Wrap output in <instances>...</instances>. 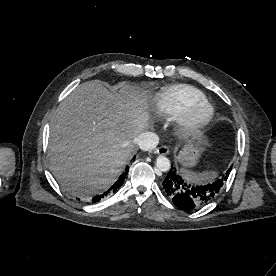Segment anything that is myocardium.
<instances>
[{"instance_id":"1","label":"myocardium","mask_w":276,"mask_h":276,"mask_svg":"<svg viewBox=\"0 0 276 276\" xmlns=\"http://www.w3.org/2000/svg\"><path fill=\"white\" fill-rule=\"evenodd\" d=\"M206 111L204 116L199 113ZM214 108L207 102H200L191 106L180 119L181 134L189 138L199 134L213 119Z\"/></svg>"}]
</instances>
